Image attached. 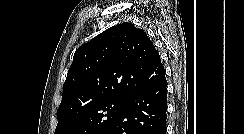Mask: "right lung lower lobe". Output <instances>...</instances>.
Segmentation results:
<instances>
[{
    "label": "right lung lower lobe",
    "instance_id": "1",
    "mask_svg": "<svg viewBox=\"0 0 244 134\" xmlns=\"http://www.w3.org/2000/svg\"><path fill=\"white\" fill-rule=\"evenodd\" d=\"M166 78L126 99L119 115L103 134H166Z\"/></svg>",
    "mask_w": 244,
    "mask_h": 134
}]
</instances>
